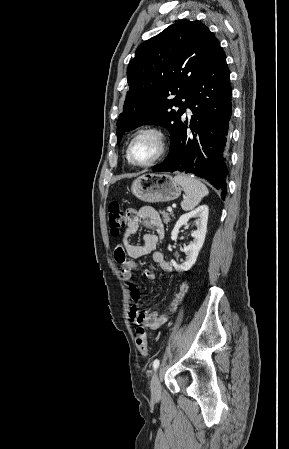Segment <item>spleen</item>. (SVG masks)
<instances>
[{
	"mask_svg": "<svg viewBox=\"0 0 289 449\" xmlns=\"http://www.w3.org/2000/svg\"><path fill=\"white\" fill-rule=\"evenodd\" d=\"M174 181L181 185L186 193V198L181 202L184 211L194 209L209 194L207 187L201 181L188 175L178 174L174 177Z\"/></svg>",
	"mask_w": 289,
	"mask_h": 449,
	"instance_id": "spleen-1",
	"label": "spleen"
}]
</instances>
